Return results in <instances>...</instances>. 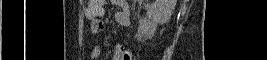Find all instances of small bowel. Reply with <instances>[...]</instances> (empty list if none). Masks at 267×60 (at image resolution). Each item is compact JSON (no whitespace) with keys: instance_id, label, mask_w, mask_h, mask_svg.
<instances>
[{"instance_id":"small-bowel-1","label":"small bowel","mask_w":267,"mask_h":60,"mask_svg":"<svg viewBox=\"0 0 267 60\" xmlns=\"http://www.w3.org/2000/svg\"><path fill=\"white\" fill-rule=\"evenodd\" d=\"M113 3L118 5L122 9L120 12H117L114 16L116 23L121 27L125 28L129 27L131 23V15L127 1L114 0ZM103 13H104V6L99 14L92 15L91 6L88 3V7L86 9V15L90 19L89 30L94 35H98L103 31L104 25L100 18ZM101 52H102L101 47L99 45H95L91 51V58L93 60L99 59ZM131 58H132L131 53L129 51H126L122 44L120 43L116 44L113 50L112 60H130Z\"/></svg>"}]
</instances>
